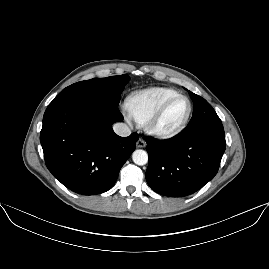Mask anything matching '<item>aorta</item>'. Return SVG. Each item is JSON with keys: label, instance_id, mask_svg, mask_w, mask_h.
<instances>
[{"label": "aorta", "instance_id": "obj_1", "mask_svg": "<svg viewBox=\"0 0 269 269\" xmlns=\"http://www.w3.org/2000/svg\"><path fill=\"white\" fill-rule=\"evenodd\" d=\"M132 159L135 164L142 166L148 162V154L144 150H135Z\"/></svg>", "mask_w": 269, "mask_h": 269}]
</instances>
